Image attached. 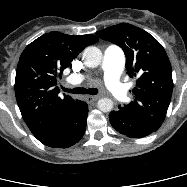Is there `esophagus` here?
<instances>
[{
	"label": "esophagus",
	"mask_w": 187,
	"mask_h": 187,
	"mask_svg": "<svg viewBox=\"0 0 187 187\" xmlns=\"http://www.w3.org/2000/svg\"><path fill=\"white\" fill-rule=\"evenodd\" d=\"M100 98V96H87L86 101L87 103H93L97 101Z\"/></svg>",
	"instance_id": "obj_1"
}]
</instances>
